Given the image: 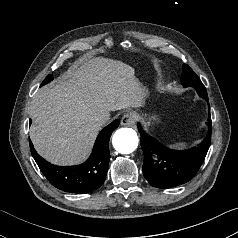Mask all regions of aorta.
<instances>
[{
	"instance_id": "obj_1",
	"label": "aorta",
	"mask_w": 238,
	"mask_h": 238,
	"mask_svg": "<svg viewBox=\"0 0 238 238\" xmlns=\"http://www.w3.org/2000/svg\"><path fill=\"white\" fill-rule=\"evenodd\" d=\"M138 136L131 128L118 129L112 138L113 147L121 154H130L138 147Z\"/></svg>"
}]
</instances>
